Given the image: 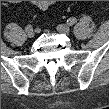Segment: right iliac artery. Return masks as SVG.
I'll return each mask as SVG.
<instances>
[{"label":"right iliac artery","mask_w":109,"mask_h":109,"mask_svg":"<svg viewBox=\"0 0 109 109\" xmlns=\"http://www.w3.org/2000/svg\"><path fill=\"white\" fill-rule=\"evenodd\" d=\"M25 29H26V30H30V29H32V26L29 24V25L26 26Z\"/></svg>","instance_id":"obj_1"}]
</instances>
